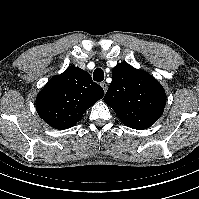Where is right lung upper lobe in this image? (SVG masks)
<instances>
[{
  "label": "right lung upper lobe",
  "instance_id": "1",
  "mask_svg": "<svg viewBox=\"0 0 199 199\" xmlns=\"http://www.w3.org/2000/svg\"><path fill=\"white\" fill-rule=\"evenodd\" d=\"M104 95L88 72L70 66L48 81L36 99L39 116L56 129H67L79 122L83 113Z\"/></svg>",
  "mask_w": 199,
  "mask_h": 199
}]
</instances>
